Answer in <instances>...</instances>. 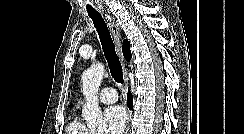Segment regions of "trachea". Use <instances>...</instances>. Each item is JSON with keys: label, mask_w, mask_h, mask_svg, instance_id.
<instances>
[{"label": "trachea", "mask_w": 244, "mask_h": 134, "mask_svg": "<svg viewBox=\"0 0 244 134\" xmlns=\"http://www.w3.org/2000/svg\"><path fill=\"white\" fill-rule=\"evenodd\" d=\"M99 35L102 49L107 60L110 73L113 79L123 84V72L119 58L115 51V45L110 35V31L99 13H88Z\"/></svg>", "instance_id": "1"}]
</instances>
